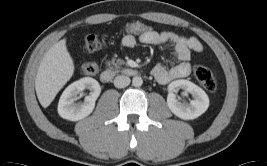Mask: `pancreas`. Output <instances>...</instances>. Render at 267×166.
<instances>
[{"instance_id": "pancreas-1", "label": "pancreas", "mask_w": 267, "mask_h": 166, "mask_svg": "<svg viewBox=\"0 0 267 166\" xmlns=\"http://www.w3.org/2000/svg\"><path fill=\"white\" fill-rule=\"evenodd\" d=\"M107 66L113 70H118L122 64H124V61L122 59H112L111 61H106Z\"/></svg>"}]
</instances>
